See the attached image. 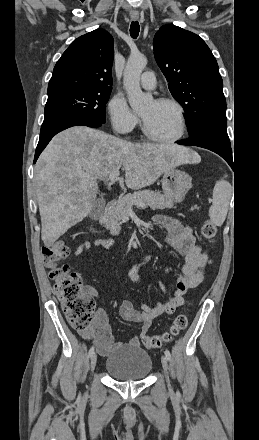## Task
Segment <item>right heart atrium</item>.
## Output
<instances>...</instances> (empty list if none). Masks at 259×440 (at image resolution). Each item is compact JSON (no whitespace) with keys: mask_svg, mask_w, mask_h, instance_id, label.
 <instances>
[{"mask_svg":"<svg viewBox=\"0 0 259 440\" xmlns=\"http://www.w3.org/2000/svg\"><path fill=\"white\" fill-rule=\"evenodd\" d=\"M106 112L113 131L118 134H130L140 123L139 117L120 94H116L109 99Z\"/></svg>","mask_w":259,"mask_h":440,"instance_id":"1","label":"right heart atrium"}]
</instances>
